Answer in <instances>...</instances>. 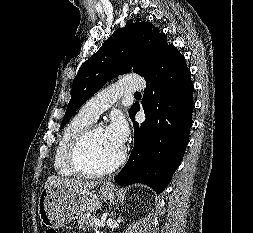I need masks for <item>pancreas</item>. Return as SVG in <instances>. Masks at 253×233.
Masks as SVG:
<instances>
[{"label": "pancreas", "mask_w": 253, "mask_h": 233, "mask_svg": "<svg viewBox=\"0 0 253 233\" xmlns=\"http://www.w3.org/2000/svg\"><path fill=\"white\" fill-rule=\"evenodd\" d=\"M95 216H92L90 214H81L78 220V226L80 229L86 231V230H96L98 227L94 223Z\"/></svg>", "instance_id": "pancreas-1"}]
</instances>
